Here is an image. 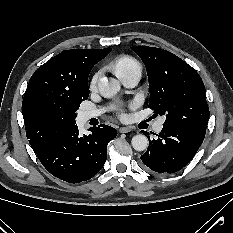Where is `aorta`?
<instances>
[{
	"mask_svg": "<svg viewBox=\"0 0 233 233\" xmlns=\"http://www.w3.org/2000/svg\"><path fill=\"white\" fill-rule=\"evenodd\" d=\"M100 94L105 98H111L120 90V83L116 79L102 77L98 83ZM132 147L136 151H144L148 147V139L143 134L135 135L132 138Z\"/></svg>",
	"mask_w": 233,
	"mask_h": 233,
	"instance_id": "aorta-1",
	"label": "aorta"
}]
</instances>
